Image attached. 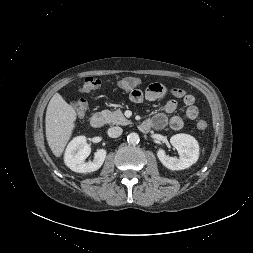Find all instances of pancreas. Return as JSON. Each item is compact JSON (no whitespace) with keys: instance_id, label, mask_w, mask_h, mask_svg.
Here are the masks:
<instances>
[{"instance_id":"pancreas-1","label":"pancreas","mask_w":253,"mask_h":253,"mask_svg":"<svg viewBox=\"0 0 253 253\" xmlns=\"http://www.w3.org/2000/svg\"><path fill=\"white\" fill-rule=\"evenodd\" d=\"M102 115H103L106 123L116 124V125H127V124L131 123L129 120H127L124 117V115L120 109H117L112 112L109 110H104V111H102Z\"/></svg>"}]
</instances>
